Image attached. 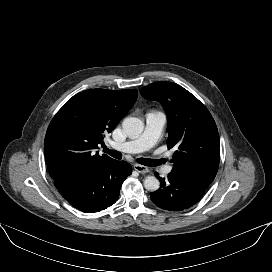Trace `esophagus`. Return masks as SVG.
Segmentation results:
<instances>
[{"label":"esophagus","instance_id":"obj_1","mask_svg":"<svg viewBox=\"0 0 272 272\" xmlns=\"http://www.w3.org/2000/svg\"><path fill=\"white\" fill-rule=\"evenodd\" d=\"M134 169L141 174H145L149 171V169L147 167L140 165V164H135Z\"/></svg>","mask_w":272,"mask_h":272}]
</instances>
